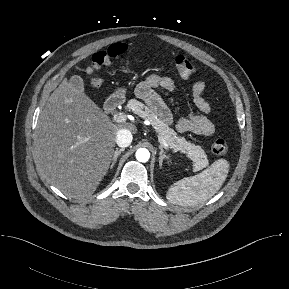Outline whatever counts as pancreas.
I'll list each match as a JSON object with an SVG mask.
<instances>
[{"label": "pancreas", "instance_id": "1", "mask_svg": "<svg viewBox=\"0 0 289 289\" xmlns=\"http://www.w3.org/2000/svg\"><path fill=\"white\" fill-rule=\"evenodd\" d=\"M127 107L139 117L149 120L158 135L165 139L168 148L174 152L179 151L186 154L193 161V171H198L208 165L205 151L200 146L177 136V133L160 119L153 110L136 100H130Z\"/></svg>", "mask_w": 289, "mask_h": 289}]
</instances>
